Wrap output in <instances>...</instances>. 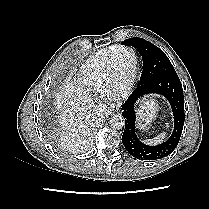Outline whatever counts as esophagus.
I'll return each mask as SVG.
<instances>
[{
	"instance_id": "1",
	"label": "esophagus",
	"mask_w": 209,
	"mask_h": 209,
	"mask_svg": "<svg viewBox=\"0 0 209 209\" xmlns=\"http://www.w3.org/2000/svg\"><path fill=\"white\" fill-rule=\"evenodd\" d=\"M110 110L112 111V113H116L119 110V107L117 105H111Z\"/></svg>"
}]
</instances>
